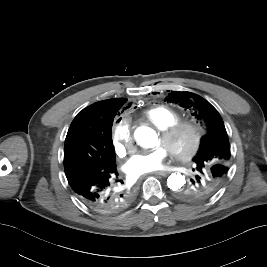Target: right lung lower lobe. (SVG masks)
<instances>
[{
    "instance_id": "98d812e1",
    "label": "right lung lower lobe",
    "mask_w": 267,
    "mask_h": 267,
    "mask_svg": "<svg viewBox=\"0 0 267 267\" xmlns=\"http://www.w3.org/2000/svg\"><path fill=\"white\" fill-rule=\"evenodd\" d=\"M67 180L79 199L99 213L121 212L135 198L132 188L121 187L116 164L101 170L88 168L67 177Z\"/></svg>"
}]
</instances>
